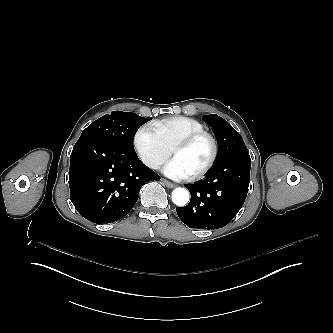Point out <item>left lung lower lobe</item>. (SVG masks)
Returning a JSON list of instances; mask_svg holds the SVG:
<instances>
[{
  "label": "left lung lower lobe",
  "mask_w": 333,
  "mask_h": 333,
  "mask_svg": "<svg viewBox=\"0 0 333 333\" xmlns=\"http://www.w3.org/2000/svg\"><path fill=\"white\" fill-rule=\"evenodd\" d=\"M250 168L249 152H238L215 163L204 180L185 185L191 200L187 206L176 208L181 221L197 229H218L227 225L244 204Z\"/></svg>",
  "instance_id": "obj_1"
}]
</instances>
